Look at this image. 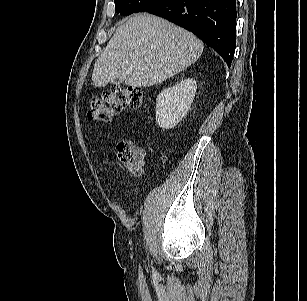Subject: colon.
<instances>
[{"mask_svg":"<svg viewBox=\"0 0 307 301\" xmlns=\"http://www.w3.org/2000/svg\"><path fill=\"white\" fill-rule=\"evenodd\" d=\"M144 102L145 96L141 88L116 87L101 97L91 98L89 116L97 122L108 123L124 108L140 109ZM116 149L120 163L132 174L139 175L142 172V151L128 139L119 141Z\"/></svg>","mask_w":307,"mask_h":301,"instance_id":"colon-1","label":"colon"}]
</instances>
